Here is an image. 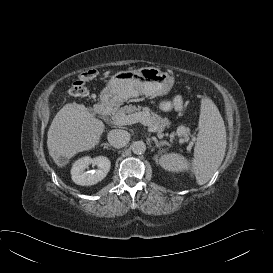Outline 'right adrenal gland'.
Instances as JSON below:
<instances>
[{"mask_svg":"<svg viewBox=\"0 0 273 273\" xmlns=\"http://www.w3.org/2000/svg\"><path fill=\"white\" fill-rule=\"evenodd\" d=\"M103 146H104V148H110L111 149V146L108 143H104Z\"/></svg>","mask_w":273,"mask_h":273,"instance_id":"1","label":"right adrenal gland"}]
</instances>
